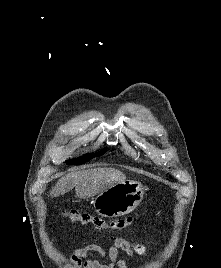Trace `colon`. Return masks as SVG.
Segmentation results:
<instances>
[{"label": "colon", "mask_w": 221, "mask_h": 268, "mask_svg": "<svg viewBox=\"0 0 221 268\" xmlns=\"http://www.w3.org/2000/svg\"><path fill=\"white\" fill-rule=\"evenodd\" d=\"M62 213L63 216L73 222L80 223L82 225H90L99 230H124L131 227L135 222V218L132 216L106 221L101 217L94 216L77 209L65 210Z\"/></svg>", "instance_id": "1"}]
</instances>
